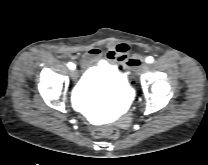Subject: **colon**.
<instances>
[{"instance_id": "colon-1", "label": "colon", "mask_w": 208, "mask_h": 165, "mask_svg": "<svg viewBox=\"0 0 208 165\" xmlns=\"http://www.w3.org/2000/svg\"><path fill=\"white\" fill-rule=\"evenodd\" d=\"M126 77L130 80L131 86L135 87L136 86V80L133 79V76L131 73H127ZM120 134L119 129L115 127H107V128H102V129H97L93 132V136L95 138H117Z\"/></svg>"}]
</instances>
